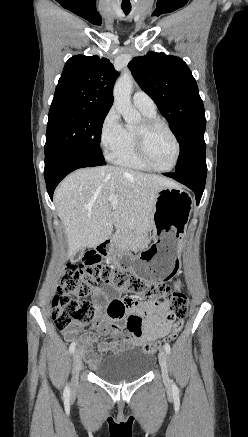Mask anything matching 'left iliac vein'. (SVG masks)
Segmentation results:
<instances>
[{
	"label": "left iliac vein",
	"instance_id": "left-iliac-vein-1",
	"mask_svg": "<svg viewBox=\"0 0 248 437\" xmlns=\"http://www.w3.org/2000/svg\"><path fill=\"white\" fill-rule=\"evenodd\" d=\"M159 363L162 370V377L165 384H169L168 376V356L165 350H160L159 352Z\"/></svg>",
	"mask_w": 248,
	"mask_h": 437
}]
</instances>
